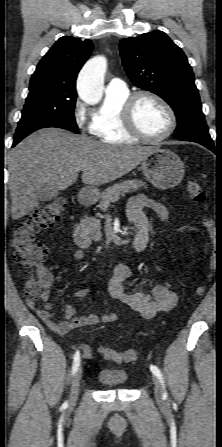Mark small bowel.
Segmentation results:
<instances>
[{
	"mask_svg": "<svg viewBox=\"0 0 222 447\" xmlns=\"http://www.w3.org/2000/svg\"><path fill=\"white\" fill-rule=\"evenodd\" d=\"M152 209L157 213L161 220L168 218L167 209L160 203H157L143 194L136 195L129 200L127 206V218L135 224L137 232L133 241V248L136 252L143 251L146 247V237L148 233V223L143 215V209ZM86 256V252L77 249L74 252L76 260H82ZM134 276L132 268L123 263L115 265L113 276L108 285V291L111 297L127 304L133 311L137 312L142 318H153L159 312L171 311L178 302L177 294L173 291L171 284L168 282L155 284L150 290L139 287L134 292H127L124 283ZM52 277L49 276L44 284L43 292L40 296L41 304L38 302H27V307L32 310L41 320L58 334H67L70 331L86 326H93L100 322L113 323L118 320V315L114 312H107L102 315L89 314L86 316H75L76 309L71 304H65L63 309L64 320L55 323L53 321L54 314L50 303L51 298ZM91 289L82 287L73 293L76 299L85 298ZM80 350L86 358H92L93 353L90 347L82 345Z\"/></svg>",
	"mask_w": 222,
	"mask_h": 447,
	"instance_id": "1",
	"label": "small bowel"
}]
</instances>
